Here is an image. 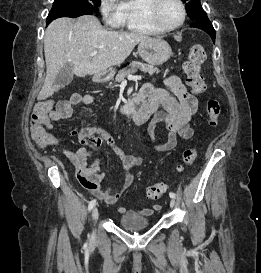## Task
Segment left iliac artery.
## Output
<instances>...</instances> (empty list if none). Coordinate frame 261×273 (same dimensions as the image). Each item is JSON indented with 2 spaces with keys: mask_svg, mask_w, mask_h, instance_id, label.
Wrapping results in <instances>:
<instances>
[{
  "mask_svg": "<svg viewBox=\"0 0 261 273\" xmlns=\"http://www.w3.org/2000/svg\"><path fill=\"white\" fill-rule=\"evenodd\" d=\"M169 196H170L171 198H175V197H176L175 193H173V192H170V193H169Z\"/></svg>",
  "mask_w": 261,
  "mask_h": 273,
  "instance_id": "1",
  "label": "left iliac artery"
}]
</instances>
